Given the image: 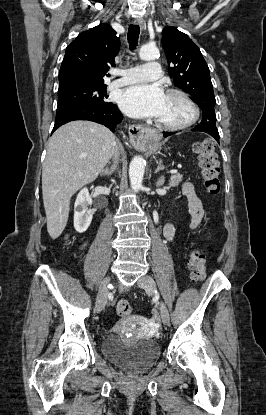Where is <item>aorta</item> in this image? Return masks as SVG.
Wrapping results in <instances>:
<instances>
[{"label":"aorta","mask_w":266,"mask_h":415,"mask_svg":"<svg viewBox=\"0 0 266 415\" xmlns=\"http://www.w3.org/2000/svg\"><path fill=\"white\" fill-rule=\"evenodd\" d=\"M159 50L152 45H143L140 48L139 56L142 60L149 61L158 57ZM145 171V162L141 157H134L129 167V178L131 188L138 191L142 187V181Z\"/></svg>","instance_id":"762f6f07"}]
</instances>
